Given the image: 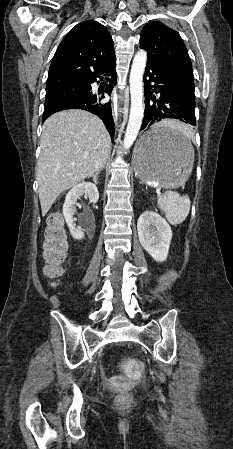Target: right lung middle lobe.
<instances>
[{
	"instance_id": "1",
	"label": "right lung middle lobe",
	"mask_w": 233,
	"mask_h": 449,
	"mask_svg": "<svg viewBox=\"0 0 233 449\" xmlns=\"http://www.w3.org/2000/svg\"><path fill=\"white\" fill-rule=\"evenodd\" d=\"M89 88L86 84L63 86L46 91L44 109L86 96Z\"/></svg>"
}]
</instances>
